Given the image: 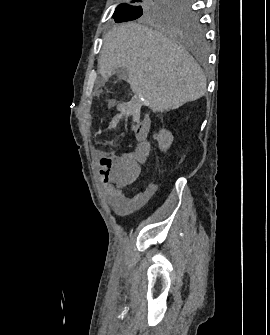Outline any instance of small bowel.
Returning <instances> with one entry per match:
<instances>
[{"label": "small bowel", "mask_w": 270, "mask_h": 335, "mask_svg": "<svg viewBox=\"0 0 270 335\" xmlns=\"http://www.w3.org/2000/svg\"><path fill=\"white\" fill-rule=\"evenodd\" d=\"M151 128V119L143 117L137 122L136 127H132V134H136L139 141L147 142L148 134ZM134 151L139 154H133V151H126L127 154H133L132 158H114L113 154H96L93 158V169L101 173V181L105 185L110 197V203L116 213L126 215L134 211L141 196H126L121 188L131 184L135 178H139L140 169L148 164V159L144 154H148V144H134ZM112 178H125L120 180L117 187L111 185Z\"/></svg>", "instance_id": "obj_1"}]
</instances>
